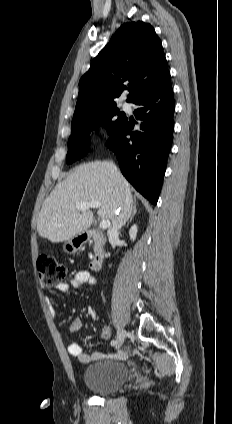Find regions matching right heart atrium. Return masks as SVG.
Instances as JSON below:
<instances>
[{"mask_svg": "<svg viewBox=\"0 0 232 424\" xmlns=\"http://www.w3.org/2000/svg\"><path fill=\"white\" fill-rule=\"evenodd\" d=\"M108 135V128L104 124H99L94 131V139L100 143L106 139Z\"/></svg>", "mask_w": 232, "mask_h": 424, "instance_id": "obj_1", "label": "right heart atrium"}]
</instances>
